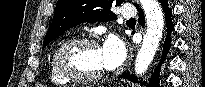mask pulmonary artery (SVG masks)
<instances>
[{"label": "pulmonary artery", "mask_w": 205, "mask_h": 87, "mask_svg": "<svg viewBox=\"0 0 205 87\" xmlns=\"http://www.w3.org/2000/svg\"><path fill=\"white\" fill-rule=\"evenodd\" d=\"M120 15L124 19H129L135 15V9L130 5H124L121 9Z\"/></svg>", "instance_id": "obj_1"}]
</instances>
